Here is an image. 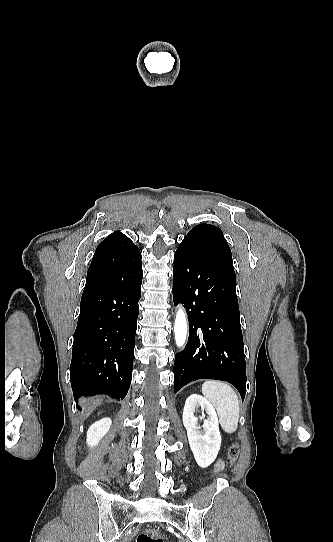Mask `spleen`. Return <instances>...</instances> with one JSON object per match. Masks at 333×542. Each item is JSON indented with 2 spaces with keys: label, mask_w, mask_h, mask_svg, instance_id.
Masks as SVG:
<instances>
[{
  "label": "spleen",
  "mask_w": 333,
  "mask_h": 542,
  "mask_svg": "<svg viewBox=\"0 0 333 542\" xmlns=\"http://www.w3.org/2000/svg\"><path fill=\"white\" fill-rule=\"evenodd\" d=\"M202 394L217 410L222 430L227 434L236 432L239 422V400L235 390L224 382L209 380L202 384Z\"/></svg>",
  "instance_id": "spleen-1"
}]
</instances>
